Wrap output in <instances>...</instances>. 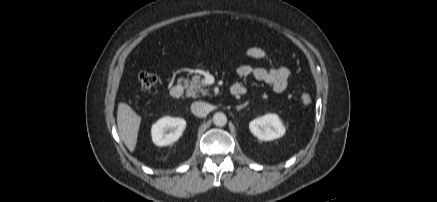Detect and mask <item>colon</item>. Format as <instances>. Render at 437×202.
Instances as JSON below:
<instances>
[{
	"label": "colon",
	"instance_id": "obj_1",
	"mask_svg": "<svg viewBox=\"0 0 437 202\" xmlns=\"http://www.w3.org/2000/svg\"><path fill=\"white\" fill-rule=\"evenodd\" d=\"M139 84L142 90H150L157 82V76L148 71H142L138 76ZM300 102L304 106H308L312 102L311 95L308 92H303L300 95Z\"/></svg>",
	"mask_w": 437,
	"mask_h": 202
}]
</instances>
